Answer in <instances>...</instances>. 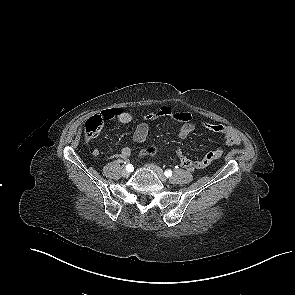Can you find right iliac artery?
<instances>
[{
    "label": "right iliac artery",
    "instance_id": "obj_1",
    "mask_svg": "<svg viewBox=\"0 0 295 295\" xmlns=\"http://www.w3.org/2000/svg\"><path fill=\"white\" fill-rule=\"evenodd\" d=\"M126 170H127L128 172H132V171L134 170L133 165H132V164H127V165H126Z\"/></svg>",
    "mask_w": 295,
    "mask_h": 295
}]
</instances>
